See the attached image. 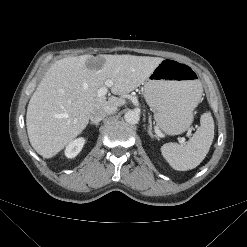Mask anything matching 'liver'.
I'll list each match as a JSON object with an SVG mask.
<instances>
[{
  "mask_svg": "<svg viewBox=\"0 0 247 247\" xmlns=\"http://www.w3.org/2000/svg\"><path fill=\"white\" fill-rule=\"evenodd\" d=\"M160 57L134 55H81L54 62L33 93L26 114L32 147L51 158L86 128L93 111L126 103L116 96L98 97L107 80L115 95H125L143 84Z\"/></svg>",
  "mask_w": 247,
  "mask_h": 247,
  "instance_id": "obj_1",
  "label": "liver"
}]
</instances>
